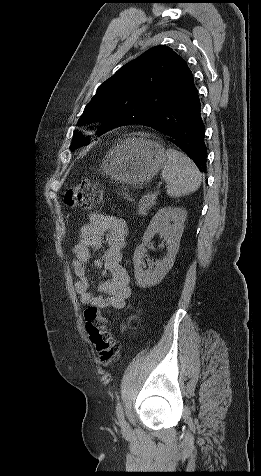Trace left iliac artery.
<instances>
[{
	"mask_svg": "<svg viewBox=\"0 0 261 476\" xmlns=\"http://www.w3.org/2000/svg\"><path fill=\"white\" fill-rule=\"evenodd\" d=\"M116 414L121 423L124 422V412L121 403H118L116 406Z\"/></svg>",
	"mask_w": 261,
	"mask_h": 476,
	"instance_id": "1",
	"label": "left iliac artery"
}]
</instances>
